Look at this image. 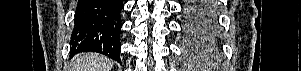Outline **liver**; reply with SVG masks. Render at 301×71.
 <instances>
[{
	"mask_svg": "<svg viewBox=\"0 0 301 71\" xmlns=\"http://www.w3.org/2000/svg\"><path fill=\"white\" fill-rule=\"evenodd\" d=\"M74 66L75 71H109L113 62L108 57L97 53H84L77 56Z\"/></svg>",
	"mask_w": 301,
	"mask_h": 71,
	"instance_id": "6515ba94",
	"label": "liver"
}]
</instances>
